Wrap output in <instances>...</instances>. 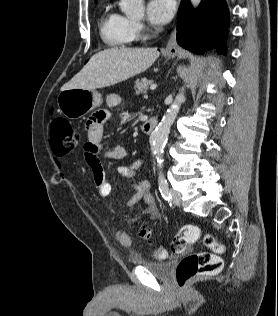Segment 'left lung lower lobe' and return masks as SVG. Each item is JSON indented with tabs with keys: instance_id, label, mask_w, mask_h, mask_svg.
<instances>
[{
	"instance_id": "0a47b994",
	"label": "left lung lower lobe",
	"mask_w": 278,
	"mask_h": 316,
	"mask_svg": "<svg viewBox=\"0 0 278 316\" xmlns=\"http://www.w3.org/2000/svg\"><path fill=\"white\" fill-rule=\"evenodd\" d=\"M177 43L194 53L216 48L224 53L225 33L229 26V10L225 0H202L193 9L189 0L179 7Z\"/></svg>"
}]
</instances>
